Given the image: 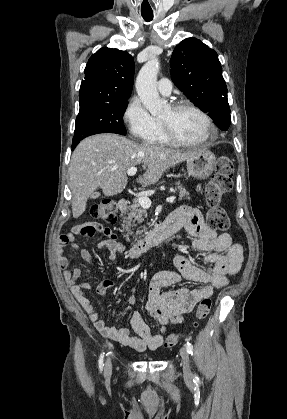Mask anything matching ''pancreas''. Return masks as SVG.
<instances>
[{"instance_id":"1","label":"pancreas","mask_w":287,"mask_h":419,"mask_svg":"<svg viewBox=\"0 0 287 419\" xmlns=\"http://www.w3.org/2000/svg\"><path fill=\"white\" fill-rule=\"evenodd\" d=\"M176 185H177L176 190H178L179 192L180 200H182L183 197H187L189 195V192L185 189V187H183V185H181L180 183H176ZM124 215H125L124 219H125L126 226L123 227V230L127 232L125 236L128 240V234H132L130 228L133 226H136V223H142L144 221V218L147 216V213L141 207L138 200H134L133 204L128 206L126 213ZM138 238H140V236ZM138 238L136 236L135 241H137Z\"/></svg>"}]
</instances>
